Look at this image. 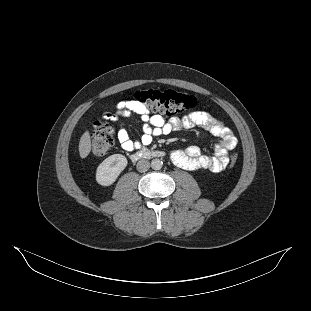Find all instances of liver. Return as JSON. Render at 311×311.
<instances>
[{
	"mask_svg": "<svg viewBox=\"0 0 311 311\" xmlns=\"http://www.w3.org/2000/svg\"><path fill=\"white\" fill-rule=\"evenodd\" d=\"M91 151V143H90V136L88 134V132H86L82 138H81V141H80V144H79V152H80V156L82 158H85L88 156V154L90 153Z\"/></svg>",
	"mask_w": 311,
	"mask_h": 311,
	"instance_id": "liver-1",
	"label": "liver"
}]
</instances>
